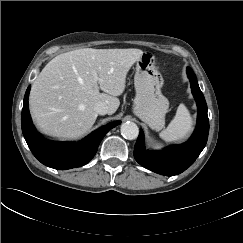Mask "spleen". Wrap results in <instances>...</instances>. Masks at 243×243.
<instances>
[{
	"label": "spleen",
	"mask_w": 243,
	"mask_h": 243,
	"mask_svg": "<svg viewBox=\"0 0 243 243\" xmlns=\"http://www.w3.org/2000/svg\"><path fill=\"white\" fill-rule=\"evenodd\" d=\"M193 120L187 107L182 103L178 106L176 115L160 137L166 142H176L184 139L192 131Z\"/></svg>",
	"instance_id": "3e777b00"
}]
</instances>
